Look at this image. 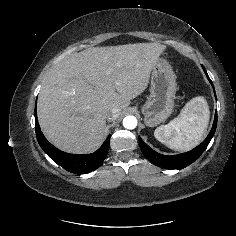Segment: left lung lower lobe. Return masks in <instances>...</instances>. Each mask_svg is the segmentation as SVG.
I'll return each mask as SVG.
<instances>
[{
  "label": "left lung lower lobe",
  "instance_id": "obj_1",
  "mask_svg": "<svg viewBox=\"0 0 236 236\" xmlns=\"http://www.w3.org/2000/svg\"><path fill=\"white\" fill-rule=\"evenodd\" d=\"M203 67V66H202ZM203 70L209 80V82L212 84V81L210 80L205 68L203 67ZM214 88V87H213ZM215 92V90H214ZM217 126V112L215 113V118L213 122L212 129L206 139L196 148H194L191 151L173 155V156H167L162 155L151 149L145 142L142 141V139L139 137V146L142 150V153L144 156L154 165L167 168V169H182L188 166L189 164L196 161L201 154L205 151L207 148L209 142L211 141L212 137L214 136L215 130Z\"/></svg>",
  "mask_w": 236,
  "mask_h": 236
}]
</instances>
